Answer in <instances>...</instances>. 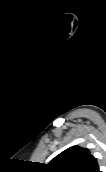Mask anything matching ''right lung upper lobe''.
Wrapping results in <instances>:
<instances>
[{
  "label": "right lung upper lobe",
  "instance_id": "1",
  "mask_svg": "<svg viewBox=\"0 0 106 172\" xmlns=\"http://www.w3.org/2000/svg\"><path fill=\"white\" fill-rule=\"evenodd\" d=\"M49 172H100L97 160L87 148L72 146L58 156L48 165Z\"/></svg>",
  "mask_w": 106,
  "mask_h": 172
}]
</instances>
